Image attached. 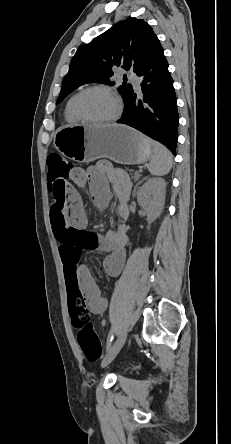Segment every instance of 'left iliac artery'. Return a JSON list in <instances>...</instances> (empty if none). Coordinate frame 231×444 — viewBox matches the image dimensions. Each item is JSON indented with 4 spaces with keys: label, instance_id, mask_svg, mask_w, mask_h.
<instances>
[{
    "label": "left iliac artery",
    "instance_id": "1",
    "mask_svg": "<svg viewBox=\"0 0 231 444\" xmlns=\"http://www.w3.org/2000/svg\"><path fill=\"white\" fill-rule=\"evenodd\" d=\"M113 339H114V331L111 330L109 335H108V339H107V346H106L107 349H109V347L111 346V343H112Z\"/></svg>",
    "mask_w": 231,
    "mask_h": 444
}]
</instances>
